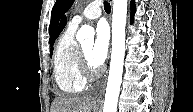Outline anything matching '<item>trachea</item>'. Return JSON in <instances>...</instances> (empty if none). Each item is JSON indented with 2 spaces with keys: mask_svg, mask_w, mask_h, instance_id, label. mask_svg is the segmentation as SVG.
<instances>
[{
  "mask_svg": "<svg viewBox=\"0 0 193 112\" xmlns=\"http://www.w3.org/2000/svg\"><path fill=\"white\" fill-rule=\"evenodd\" d=\"M104 9L107 13H110L111 11L110 4L107 1L104 2Z\"/></svg>",
  "mask_w": 193,
  "mask_h": 112,
  "instance_id": "trachea-1",
  "label": "trachea"
}]
</instances>
